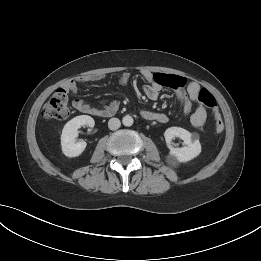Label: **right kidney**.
Wrapping results in <instances>:
<instances>
[{"label":"right kidney","instance_id":"1","mask_svg":"<svg viewBox=\"0 0 261 261\" xmlns=\"http://www.w3.org/2000/svg\"><path fill=\"white\" fill-rule=\"evenodd\" d=\"M85 125L89 127H94V119L88 115H80L76 116L65 124L61 134V146L65 156L77 157L85 150L87 145L85 141H80L76 143V137H78V129L81 126Z\"/></svg>","mask_w":261,"mask_h":261}]
</instances>
